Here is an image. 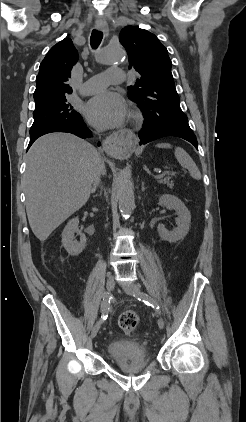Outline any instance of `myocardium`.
<instances>
[{"label":"myocardium","instance_id":"f54148a6","mask_svg":"<svg viewBox=\"0 0 246 422\" xmlns=\"http://www.w3.org/2000/svg\"><path fill=\"white\" fill-rule=\"evenodd\" d=\"M132 119H133V122L137 125L141 124V122H142V116L138 112H134L132 114Z\"/></svg>","mask_w":246,"mask_h":422}]
</instances>
